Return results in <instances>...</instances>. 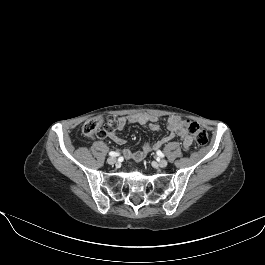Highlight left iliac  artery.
<instances>
[{
    "instance_id": "left-iliac-artery-1",
    "label": "left iliac artery",
    "mask_w": 265,
    "mask_h": 265,
    "mask_svg": "<svg viewBox=\"0 0 265 265\" xmlns=\"http://www.w3.org/2000/svg\"><path fill=\"white\" fill-rule=\"evenodd\" d=\"M157 155L160 156V157H164V154L160 150L157 151Z\"/></svg>"
}]
</instances>
